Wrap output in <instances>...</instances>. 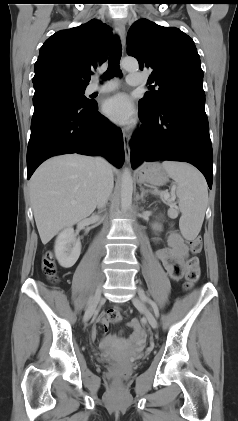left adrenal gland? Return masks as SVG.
<instances>
[{"label":"left adrenal gland","mask_w":238,"mask_h":421,"mask_svg":"<svg viewBox=\"0 0 238 421\" xmlns=\"http://www.w3.org/2000/svg\"><path fill=\"white\" fill-rule=\"evenodd\" d=\"M140 191H141V193H140L139 199H141L142 202H145L144 197L147 196L148 191L145 190V188L143 186H140Z\"/></svg>","instance_id":"left-adrenal-gland-1"}]
</instances>
